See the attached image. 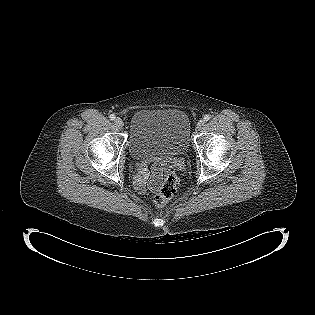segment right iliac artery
<instances>
[{
    "mask_svg": "<svg viewBox=\"0 0 315 315\" xmlns=\"http://www.w3.org/2000/svg\"><path fill=\"white\" fill-rule=\"evenodd\" d=\"M109 118H110V120H115V118H116V116L114 115V114H111L110 116H109Z\"/></svg>",
    "mask_w": 315,
    "mask_h": 315,
    "instance_id": "82829eb1",
    "label": "right iliac artery"
}]
</instances>
